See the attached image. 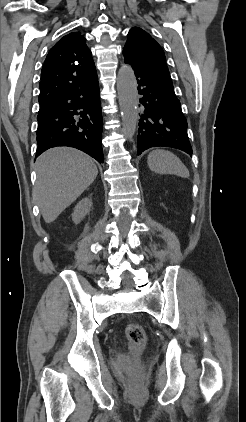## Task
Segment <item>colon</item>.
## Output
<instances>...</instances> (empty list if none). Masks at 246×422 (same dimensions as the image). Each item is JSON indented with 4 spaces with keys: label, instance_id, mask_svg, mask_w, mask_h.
I'll return each mask as SVG.
<instances>
[{
    "label": "colon",
    "instance_id": "1",
    "mask_svg": "<svg viewBox=\"0 0 246 422\" xmlns=\"http://www.w3.org/2000/svg\"><path fill=\"white\" fill-rule=\"evenodd\" d=\"M125 334L131 351L135 355H138L144 349L147 342L143 327L138 323H129L126 326Z\"/></svg>",
    "mask_w": 246,
    "mask_h": 422
}]
</instances>
